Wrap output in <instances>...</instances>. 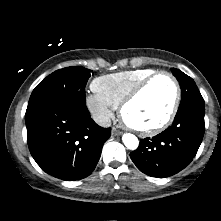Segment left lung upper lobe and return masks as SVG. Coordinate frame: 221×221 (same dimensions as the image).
I'll return each mask as SVG.
<instances>
[{
	"label": "left lung upper lobe",
	"instance_id": "5c2ea615",
	"mask_svg": "<svg viewBox=\"0 0 221 221\" xmlns=\"http://www.w3.org/2000/svg\"><path fill=\"white\" fill-rule=\"evenodd\" d=\"M171 71L179 81L182 91V98L179 108L194 103L205 104L204 99L200 94V91L198 90L194 80L191 77L175 68H172Z\"/></svg>",
	"mask_w": 221,
	"mask_h": 221
}]
</instances>
